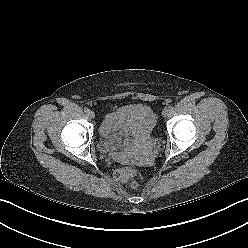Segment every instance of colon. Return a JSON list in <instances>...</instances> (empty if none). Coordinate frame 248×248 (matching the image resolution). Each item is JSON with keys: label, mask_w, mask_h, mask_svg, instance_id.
I'll list each match as a JSON object with an SVG mask.
<instances>
[{"label": "colon", "mask_w": 248, "mask_h": 248, "mask_svg": "<svg viewBox=\"0 0 248 248\" xmlns=\"http://www.w3.org/2000/svg\"><path fill=\"white\" fill-rule=\"evenodd\" d=\"M136 175L137 170L134 167H123L114 172V178L116 181L128 184L133 188L138 185L137 181L134 179Z\"/></svg>", "instance_id": "1"}]
</instances>
